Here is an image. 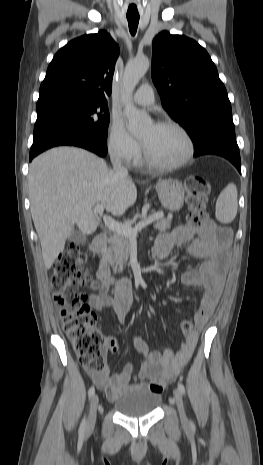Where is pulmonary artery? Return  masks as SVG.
Returning <instances> with one entry per match:
<instances>
[{"mask_svg": "<svg viewBox=\"0 0 263 465\" xmlns=\"http://www.w3.org/2000/svg\"><path fill=\"white\" fill-rule=\"evenodd\" d=\"M133 100L135 103L148 106L153 104L154 102V91L151 85L143 84L139 87V89L135 92L133 96Z\"/></svg>", "mask_w": 263, "mask_h": 465, "instance_id": "pulmonary-artery-1", "label": "pulmonary artery"}]
</instances>
